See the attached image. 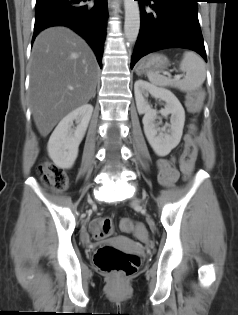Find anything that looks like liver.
Listing matches in <instances>:
<instances>
[{
    "label": "liver",
    "mask_w": 238,
    "mask_h": 315,
    "mask_svg": "<svg viewBox=\"0 0 238 315\" xmlns=\"http://www.w3.org/2000/svg\"><path fill=\"white\" fill-rule=\"evenodd\" d=\"M97 73L93 51L72 30L51 27L36 37L30 65V101L34 122L43 137L65 115L93 97Z\"/></svg>",
    "instance_id": "obj_1"
}]
</instances>
